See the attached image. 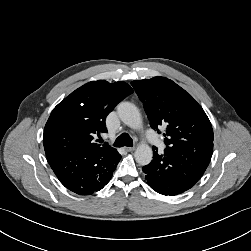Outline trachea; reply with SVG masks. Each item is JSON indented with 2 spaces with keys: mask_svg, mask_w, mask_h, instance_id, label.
Returning <instances> with one entry per match:
<instances>
[{
  "mask_svg": "<svg viewBox=\"0 0 251 251\" xmlns=\"http://www.w3.org/2000/svg\"><path fill=\"white\" fill-rule=\"evenodd\" d=\"M114 146L115 147H123V146L132 147L133 140L127 133H122L115 140Z\"/></svg>",
  "mask_w": 251,
  "mask_h": 251,
  "instance_id": "trachea-1",
  "label": "trachea"
}]
</instances>
